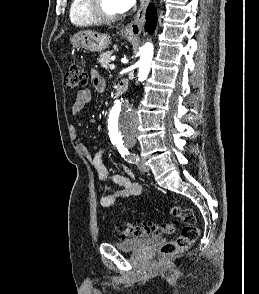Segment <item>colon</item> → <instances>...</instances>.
Masks as SVG:
<instances>
[{"mask_svg":"<svg viewBox=\"0 0 259 294\" xmlns=\"http://www.w3.org/2000/svg\"><path fill=\"white\" fill-rule=\"evenodd\" d=\"M88 75L82 63L74 60L70 63L65 75V86L67 88H81L87 84ZM171 214L176 221H171L163 226L154 224H130L126 223L119 226V232L122 236L133 237H152L161 234L174 233L178 227V221L184 224V227L178 237L174 240L164 243L160 248V254L171 256L186 251L198 238L199 228L196 226V217L191 208L176 205L171 208Z\"/></svg>","mask_w":259,"mask_h":294,"instance_id":"1","label":"colon"}]
</instances>
